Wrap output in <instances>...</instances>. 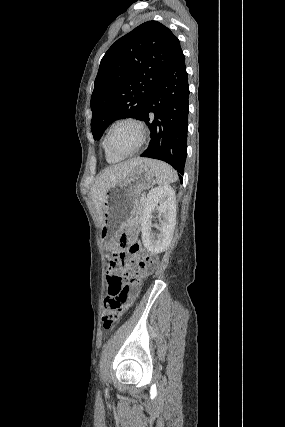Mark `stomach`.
<instances>
[{"mask_svg":"<svg viewBox=\"0 0 285 427\" xmlns=\"http://www.w3.org/2000/svg\"><path fill=\"white\" fill-rule=\"evenodd\" d=\"M153 179L151 169L142 163L106 192L100 231L103 243L107 244L128 222L135 219L138 198L152 184Z\"/></svg>","mask_w":285,"mask_h":427,"instance_id":"1","label":"stomach"}]
</instances>
